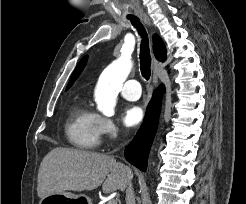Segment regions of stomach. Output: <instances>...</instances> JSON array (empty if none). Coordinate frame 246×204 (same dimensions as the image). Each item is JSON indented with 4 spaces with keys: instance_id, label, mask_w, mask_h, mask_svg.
<instances>
[{
    "instance_id": "obj_1",
    "label": "stomach",
    "mask_w": 246,
    "mask_h": 204,
    "mask_svg": "<svg viewBox=\"0 0 246 204\" xmlns=\"http://www.w3.org/2000/svg\"><path fill=\"white\" fill-rule=\"evenodd\" d=\"M39 204H92V201L83 194L60 192L42 198Z\"/></svg>"
}]
</instances>
